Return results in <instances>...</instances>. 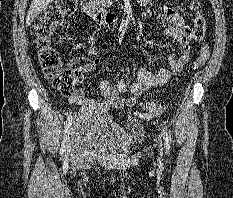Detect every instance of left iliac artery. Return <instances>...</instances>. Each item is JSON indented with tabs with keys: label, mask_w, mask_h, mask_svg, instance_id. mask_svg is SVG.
<instances>
[{
	"label": "left iliac artery",
	"mask_w": 233,
	"mask_h": 198,
	"mask_svg": "<svg viewBox=\"0 0 233 198\" xmlns=\"http://www.w3.org/2000/svg\"><path fill=\"white\" fill-rule=\"evenodd\" d=\"M162 135H163V138H164V141H165V148H166V151L169 153V150H170V137L167 133V131L165 129L162 130Z\"/></svg>",
	"instance_id": "1"
}]
</instances>
